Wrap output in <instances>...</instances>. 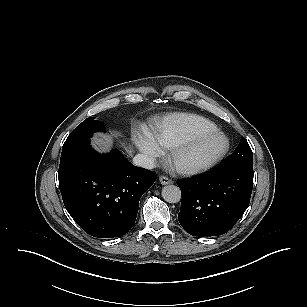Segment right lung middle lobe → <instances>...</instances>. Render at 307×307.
Listing matches in <instances>:
<instances>
[{"label":"right lung middle lobe","mask_w":307,"mask_h":307,"mask_svg":"<svg viewBox=\"0 0 307 307\" xmlns=\"http://www.w3.org/2000/svg\"><path fill=\"white\" fill-rule=\"evenodd\" d=\"M96 131H104L103 124L91 118L85 119L69 134L63 145L62 151H65L82 142L88 141L92 134Z\"/></svg>","instance_id":"1"}]
</instances>
